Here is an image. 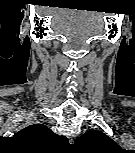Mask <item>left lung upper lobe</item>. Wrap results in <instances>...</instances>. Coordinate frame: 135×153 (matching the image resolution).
Listing matches in <instances>:
<instances>
[{
    "instance_id": "left-lung-upper-lobe-1",
    "label": "left lung upper lobe",
    "mask_w": 135,
    "mask_h": 153,
    "mask_svg": "<svg viewBox=\"0 0 135 153\" xmlns=\"http://www.w3.org/2000/svg\"><path fill=\"white\" fill-rule=\"evenodd\" d=\"M75 144L91 153H116L121 149L110 137L97 130L87 131L76 139Z\"/></svg>"
}]
</instances>
